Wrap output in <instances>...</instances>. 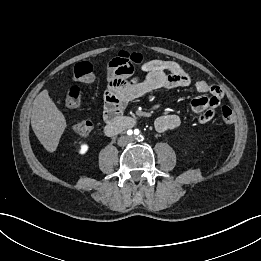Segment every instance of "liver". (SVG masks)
<instances>
[{
    "label": "liver",
    "instance_id": "liver-1",
    "mask_svg": "<svg viewBox=\"0 0 261 261\" xmlns=\"http://www.w3.org/2000/svg\"><path fill=\"white\" fill-rule=\"evenodd\" d=\"M31 126L43 147L48 152H54L66 128V120L46 89L34 99Z\"/></svg>",
    "mask_w": 261,
    "mask_h": 261
}]
</instances>
